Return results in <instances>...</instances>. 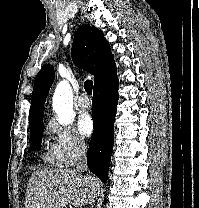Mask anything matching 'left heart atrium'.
Returning <instances> with one entry per match:
<instances>
[{"label":"left heart atrium","mask_w":199,"mask_h":208,"mask_svg":"<svg viewBox=\"0 0 199 208\" xmlns=\"http://www.w3.org/2000/svg\"><path fill=\"white\" fill-rule=\"evenodd\" d=\"M78 131L86 137H89L95 128L94 121L91 115L87 112H82L77 120Z\"/></svg>","instance_id":"left-heart-atrium-1"}]
</instances>
